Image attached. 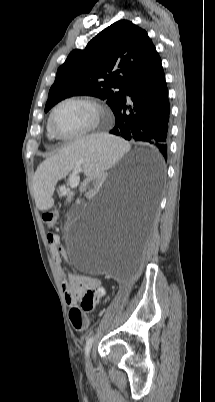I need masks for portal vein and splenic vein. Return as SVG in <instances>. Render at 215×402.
<instances>
[{
    "label": "portal vein and splenic vein",
    "mask_w": 215,
    "mask_h": 402,
    "mask_svg": "<svg viewBox=\"0 0 215 402\" xmlns=\"http://www.w3.org/2000/svg\"><path fill=\"white\" fill-rule=\"evenodd\" d=\"M78 183H79V179H75L72 181V186L75 187L78 185Z\"/></svg>",
    "instance_id": "18ae733b"
}]
</instances>
